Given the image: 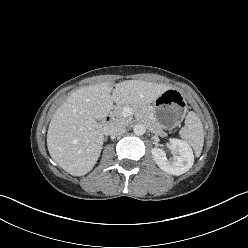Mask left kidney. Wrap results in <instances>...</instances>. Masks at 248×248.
I'll return each instance as SVG.
<instances>
[{"instance_id":"left-kidney-1","label":"left kidney","mask_w":248,"mask_h":248,"mask_svg":"<svg viewBox=\"0 0 248 248\" xmlns=\"http://www.w3.org/2000/svg\"><path fill=\"white\" fill-rule=\"evenodd\" d=\"M174 154L172 159L166 157L164 150L153 148V159L163 171L172 175H181L187 172L194 163V155L191 147L182 140L170 139Z\"/></svg>"}]
</instances>
